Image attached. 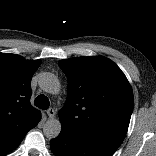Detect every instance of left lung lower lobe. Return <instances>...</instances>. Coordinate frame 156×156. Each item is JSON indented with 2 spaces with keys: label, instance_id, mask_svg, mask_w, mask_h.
Masks as SVG:
<instances>
[{
  "label": "left lung lower lobe",
  "instance_id": "obj_1",
  "mask_svg": "<svg viewBox=\"0 0 156 156\" xmlns=\"http://www.w3.org/2000/svg\"><path fill=\"white\" fill-rule=\"evenodd\" d=\"M55 156H112L116 149L99 141L77 136L62 128L50 141Z\"/></svg>",
  "mask_w": 156,
  "mask_h": 156
}]
</instances>
